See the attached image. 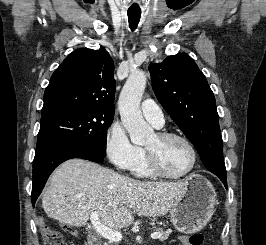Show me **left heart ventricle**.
Wrapping results in <instances>:
<instances>
[{
  "instance_id": "left-heart-ventricle-1",
  "label": "left heart ventricle",
  "mask_w": 266,
  "mask_h": 245,
  "mask_svg": "<svg viewBox=\"0 0 266 245\" xmlns=\"http://www.w3.org/2000/svg\"><path fill=\"white\" fill-rule=\"evenodd\" d=\"M145 149L166 174L179 176L185 173L191 165V151L179 139H162L155 134L147 141Z\"/></svg>"
}]
</instances>
